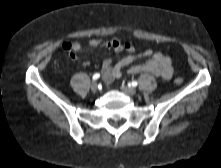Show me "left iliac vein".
I'll return each mask as SVG.
<instances>
[{
    "instance_id": "obj_1",
    "label": "left iliac vein",
    "mask_w": 221,
    "mask_h": 168,
    "mask_svg": "<svg viewBox=\"0 0 221 168\" xmlns=\"http://www.w3.org/2000/svg\"><path fill=\"white\" fill-rule=\"evenodd\" d=\"M121 90L128 95H135L137 92L135 88L129 86H121Z\"/></svg>"
}]
</instances>
